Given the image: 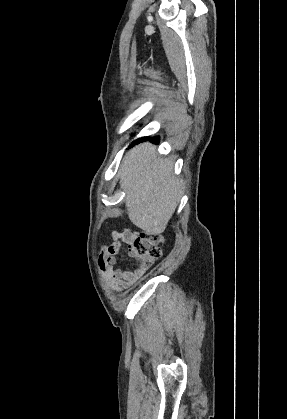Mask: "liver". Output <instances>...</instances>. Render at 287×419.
<instances>
[{"label":"liver","instance_id":"obj_1","mask_svg":"<svg viewBox=\"0 0 287 419\" xmlns=\"http://www.w3.org/2000/svg\"><path fill=\"white\" fill-rule=\"evenodd\" d=\"M118 176L130 221L150 235L164 232L183 195L172 159L158 157L150 143L139 144L125 155Z\"/></svg>","mask_w":287,"mask_h":419}]
</instances>
